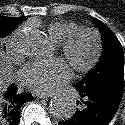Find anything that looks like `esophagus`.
Segmentation results:
<instances>
[{
	"label": "esophagus",
	"mask_w": 125,
	"mask_h": 125,
	"mask_svg": "<svg viewBox=\"0 0 125 125\" xmlns=\"http://www.w3.org/2000/svg\"><path fill=\"white\" fill-rule=\"evenodd\" d=\"M37 96H38L40 99H48L49 97H52V95H46V94H37Z\"/></svg>",
	"instance_id": "esophagus-1"
}]
</instances>
